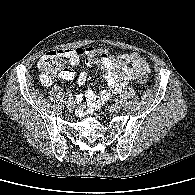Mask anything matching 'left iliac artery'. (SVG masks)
Segmentation results:
<instances>
[{
  "label": "left iliac artery",
  "mask_w": 195,
  "mask_h": 195,
  "mask_svg": "<svg viewBox=\"0 0 195 195\" xmlns=\"http://www.w3.org/2000/svg\"><path fill=\"white\" fill-rule=\"evenodd\" d=\"M115 102H116V103H119V102H120V99H119V98H116V99H115Z\"/></svg>",
  "instance_id": "obj_1"
}]
</instances>
